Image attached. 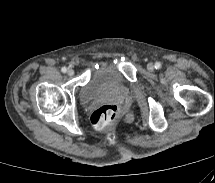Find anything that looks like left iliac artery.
<instances>
[{"instance_id":"44dca946","label":"left iliac artery","mask_w":215,"mask_h":183,"mask_svg":"<svg viewBox=\"0 0 215 183\" xmlns=\"http://www.w3.org/2000/svg\"><path fill=\"white\" fill-rule=\"evenodd\" d=\"M155 69H160L161 68V63L160 62H156L154 65Z\"/></svg>"}]
</instances>
